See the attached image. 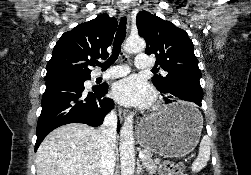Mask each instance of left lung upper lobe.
Here are the masks:
<instances>
[{"instance_id": "left-lung-upper-lobe-1", "label": "left lung upper lobe", "mask_w": 251, "mask_h": 175, "mask_svg": "<svg viewBox=\"0 0 251 175\" xmlns=\"http://www.w3.org/2000/svg\"><path fill=\"white\" fill-rule=\"evenodd\" d=\"M138 33L146 41L145 52L154 54L160 67L168 72L165 77L155 75L153 84L158 89L176 80H187L200 85L201 71L188 34L172 22L147 11L136 18Z\"/></svg>"}]
</instances>
